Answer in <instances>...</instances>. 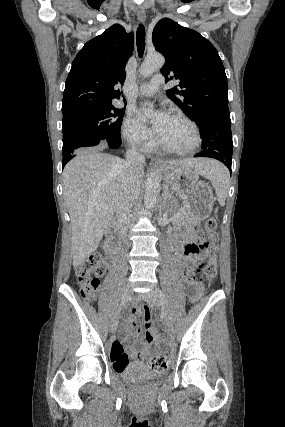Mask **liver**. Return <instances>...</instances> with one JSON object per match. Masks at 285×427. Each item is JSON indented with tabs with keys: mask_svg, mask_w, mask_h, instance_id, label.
Instances as JSON below:
<instances>
[{
	"mask_svg": "<svg viewBox=\"0 0 285 427\" xmlns=\"http://www.w3.org/2000/svg\"><path fill=\"white\" fill-rule=\"evenodd\" d=\"M124 160L101 152H83L63 171V197L71 218V250L76 269L97 249L104 230L117 210L125 187ZM169 164L186 166L206 177L216 161L189 158ZM144 169L136 173L140 187Z\"/></svg>",
	"mask_w": 285,
	"mask_h": 427,
	"instance_id": "obj_1",
	"label": "liver"
}]
</instances>
